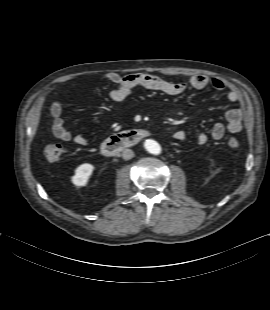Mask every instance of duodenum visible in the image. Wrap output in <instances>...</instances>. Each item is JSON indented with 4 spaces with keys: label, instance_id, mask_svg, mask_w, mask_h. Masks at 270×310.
<instances>
[{
    "label": "duodenum",
    "instance_id": "1",
    "mask_svg": "<svg viewBox=\"0 0 270 310\" xmlns=\"http://www.w3.org/2000/svg\"><path fill=\"white\" fill-rule=\"evenodd\" d=\"M145 129H131L106 138L101 144V153L104 156H114L122 150L138 144L147 137Z\"/></svg>",
    "mask_w": 270,
    "mask_h": 310
}]
</instances>
